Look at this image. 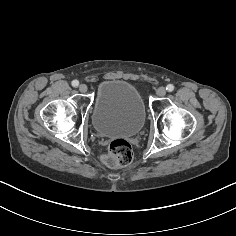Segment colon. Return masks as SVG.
<instances>
[{
  "label": "colon",
  "mask_w": 236,
  "mask_h": 236,
  "mask_svg": "<svg viewBox=\"0 0 236 236\" xmlns=\"http://www.w3.org/2000/svg\"><path fill=\"white\" fill-rule=\"evenodd\" d=\"M132 158L130 144L123 139H116L110 143L107 153L101 157V160L111 168H120L130 164Z\"/></svg>",
  "instance_id": "colon-1"
}]
</instances>
